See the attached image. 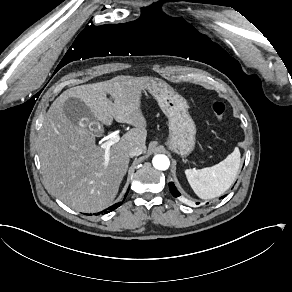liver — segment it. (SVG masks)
<instances>
[{"label":"liver","instance_id":"liver-1","mask_svg":"<svg viewBox=\"0 0 292 292\" xmlns=\"http://www.w3.org/2000/svg\"><path fill=\"white\" fill-rule=\"evenodd\" d=\"M150 80L121 75L76 86L64 91L50 106L39 131V158L48 190L68 207L84 213L107 208L126 174L131 148L141 146L146 152V120L140 97ZM69 97L80 98L107 126L114 118L135 127L111 146L107 166L105 149L96 145L95 135L72 124L65 115L63 105Z\"/></svg>","mask_w":292,"mask_h":292}]
</instances>
